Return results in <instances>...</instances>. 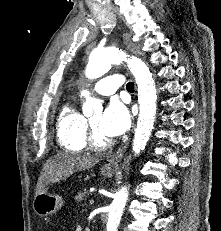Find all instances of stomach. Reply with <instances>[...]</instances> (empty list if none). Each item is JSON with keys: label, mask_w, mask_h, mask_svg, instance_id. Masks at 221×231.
Returning a JSON list of instances; mask_svg holds the SVG:
<instances>
[{"label": "stomach", "mask_w": 221, "mask_h": 231, "mask_svg": "<svg viewBox=\"0 0 221 231\" xmlns=\"http://www.w3.org/2000/svg\"><path fill=\"white\" fill-rule=\"evenodd\" d=\"M115 173L113 168L104 166L101 168V174L105 177H112ZM64 204L61 196L51 193L48 187L35 195L33 200V209L39 216H48L56 213Z\"/></svg>", "instance_id": "stomach-1"}]
</instances>
